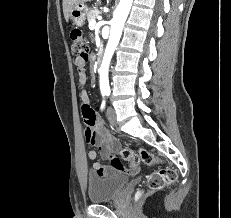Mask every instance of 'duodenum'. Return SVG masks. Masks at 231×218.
I'll return each mask as SVG.
<instances>
[{"instance_id": "obj_1", "label": "duodenum", "mask_w": 231, "mask_h": 218, "mask_svg": "<svg viewBox=\"0 0 231 218\" xmlns=\"http://www.w3.org/2000/svg\"><path fill=\"white\" fill-rule=\"evenodd\" d=\"M102 61V50H98L95 55V63L96 65H99Z\"/></svg>"}]
</instances>
